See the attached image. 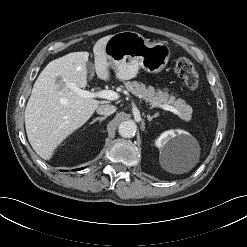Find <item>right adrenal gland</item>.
<instances>
[{
    "instance_id": "obj_1",
    "label": "right adrenal gland",
    "mask_w": 247,
    "mask_h": 247,
    "mask_svg": "<svg viewBox=\"0 0 247 247\" xmlns=\"http://www.w3.org/2000/svg\"><path fill=\"white\" fill-rule=\"evenodd\" d=\"M105 119H106V116H104V117H96L93 121L90 122V124H93L96 121H99L101 123Z\"/></svg>"
}]
</instances>
